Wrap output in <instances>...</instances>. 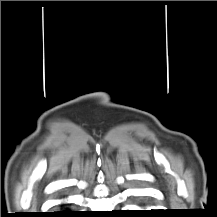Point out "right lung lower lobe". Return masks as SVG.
Masks as SVG:
<instances>
[{
  "label": "right lung lower lobe",
  "mask_w": 217,
  "mask_h": 217,
  "mask_svg": "<svg viewBox=\"0 0 217 217\" xmlns=\"http://www.w3.org/2000/svg\"><path fill=\"white\" fill-rule=\"evenodd\" d=\"M81 215L75 211H63L55 212L49 215V217H80Z\"/></svg>",
  "instance_id": "1"
}]
</instances>
